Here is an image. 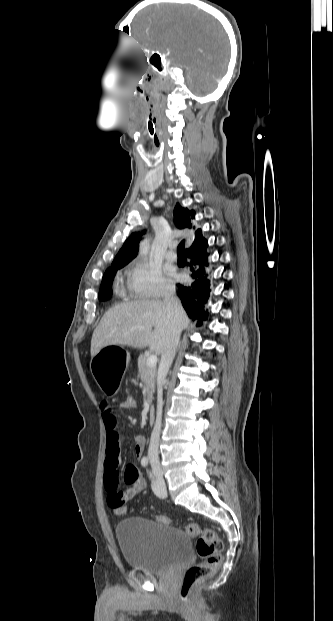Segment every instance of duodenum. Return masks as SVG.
Here are the masks:
<instances>
[{
    "label": "duodenum",
    "mask_w": 333,
    "mask_h": 621,
    "mask_svg": "<svg viewBox=\"0 0 333 621\" xmlns=\"http://www.w3.org/2000/svg\"><path fill=\"white\" fill-rule=\"evenodd\" d=\"M156 420V411L154 408H150L149 413H148V422L150 425H153L155 423Z\"/></svg>",
    "instance_id": "obj_1"
}]
</instances>
